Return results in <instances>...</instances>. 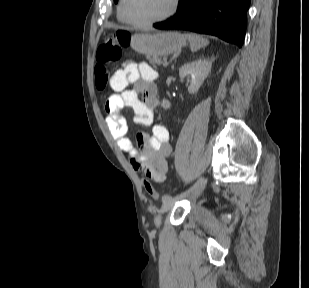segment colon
<instances>
[{"label": "colon", "instance_id": "1", "mask_svg": "<svg viewBox=\"0 0 309 288\" xmlns=\"http://www.w3.org/2000/svg\"><path fill=\"white\" fill-rule=\"evenodd\" d=\"M130 34L118 31L114 36L102 42L96 51L97 64L95 67L94 83L97 90H104L109 84V71L120 60L124 49L129 45ZM146 192L155 200L161 195L155 190L148 179H143Z\"/></svg>", "mask_w": 309, "mask_h": 288}]
</instances>
